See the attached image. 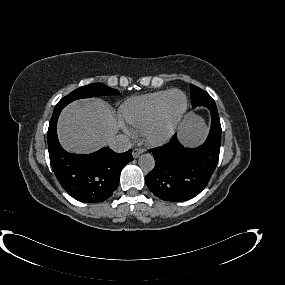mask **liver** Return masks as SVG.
Here are the masks:
<instances>
[{
	"instance_id": "6515ba94",
	"label": "liver",
	"mask_w": 285,
	"mask_h": 285,
	"mask_svg": "<svg viewBox=\"0 0 285 285\" xmlns=\"http://www.w3.org/2000/svg\"><path fill=\"white\" fill-rule=\"evenodd\" d=\"M123 121L101 99L74 101L65 107L58 121V137L68 152L89 153L106 145ZM205 135L199 118L188 115L181 125V137L188 145L198 144Z\"/></svg>"
}]
</instances>
